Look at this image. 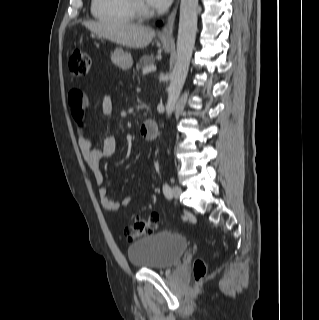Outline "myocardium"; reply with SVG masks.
I'll return each mask as SVG.
<instances>
[{
  "instance_id": "myocardium-1",
  "label": "myocardium",
  "mask_w": 319,
  "mask_h": 320,
  "mask_svg": "<svg viewBox=\"0 0 319 320\" xmlns=\"http://www.w3.org/2000/svg\"><path fill=\"white\" fill-rule=\"evenodd\" d=\"M135 15L139 18H149L154 10L144 0H130Z\"/></svg>"
}]
</instances>
